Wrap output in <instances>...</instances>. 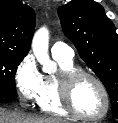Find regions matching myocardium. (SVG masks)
Here are the masks:
<instances>
[{
  "instance_id": "1",
  "label": "myocardium",
  "mask_w": 118,
  "mask_h": 123,
  "mask_svg": "<svg viewBox=\"0 0 118 123\" xmlns=\"http://www.w3.org/2000/svg\"><path fill=\"white\" fill-rule=\"evenodd\" d=\"M82 78H90L99 86L100 90L102 91L105 107L104 111L98 116H86L80 113L74 105L72 98L73 88L75 84ZM56 82L61 105L73 117L80 120L93 122L102 120L108 115L111 104L110 95L104 82L95 74L82 69L65 70L60 72Z\"/></svg>"
}]
</instances>
